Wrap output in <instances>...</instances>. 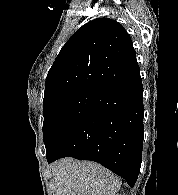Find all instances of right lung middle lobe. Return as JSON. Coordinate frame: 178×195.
<instances>
[{
	"label": "right lung middle lobe",
	"mask_w": 178,
	"mask_h": 195,
	"mask_svg": "<svg viewBox=\"0 0 178 195\" xmlns=\"http://www.w3.org/2000/svg\"><path fill=\"white\" fill-rule=\"evenodd\" d=\"M99 91L82 89L43 101V138L47 155L72 131L92 105Z\"/></svg>",
	"instance_id": "obj_1"
}]
</instances>
